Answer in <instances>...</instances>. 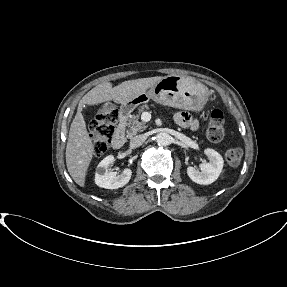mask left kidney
Masks as SVG:
<instances>
[{
	"label": "left kidney",
	"mask_w": 287,
	"mask_h": 287,
	"mask_svg": "<svg viewBox=\"0 0 287 287\" xmlns=\"http://www.w3.org/2000/svg\"><path fill=\"white\" fill-rule=\"evenodd\" d=\"M204 153L208 156L210 162L201 164V171L189 166L187 168V174L193 182L201 185H208L218 179L224 161L222 156L213 149L207 148Z\"/></svg>",
	"instance_id": "obj_1"
}]
</instances>
